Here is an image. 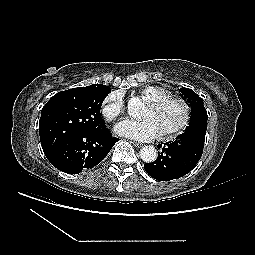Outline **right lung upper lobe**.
I'll list each match as a JSON object with an SVG mask.
<instances>
[{"label":"right lung upper lobe","instance_id":"cb5924a9","mask_svg":"<svg viewBox=\"0 0 255 255\" xmlns=\"http://www.w3.org/2000/svg\"><path fill=\"white\" fill-rule=\"evenodd\" d=\"M90 87L105 88V87H108V86H106V85H101V84H92V85H90Z\"/></svg>","mask_w":255,"mask_h":255}]
</instances>
